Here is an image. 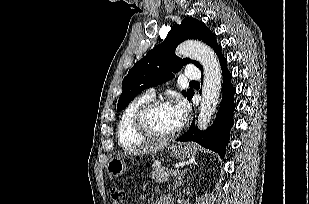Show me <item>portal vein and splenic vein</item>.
Segmentation results:
<instances>
[{
  "label": "portal vein and splenic vein",
  "mask_w": 309,
  "mask_h": 204,
  "mask_svg": "<svg viewBox=\"0 0 309 204\" xmlns=\"http://www.w3.org/2000/svg\"><path fill=\"white\" fill-rule=\"evenodd\" d=\"M179 172H180L179 169L173 170L172 175H173V176H176L177 174H179Z\"/></svg>",
  "instance_id": "portal-vein-and-splenic-vein-1"
}]
</instances>
